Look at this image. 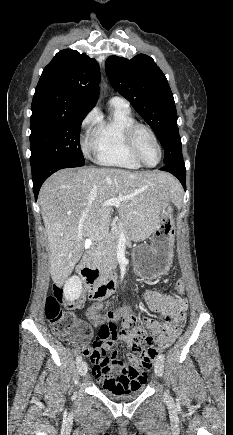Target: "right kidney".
Listing matches in <instances>:
<instances>
[{
    "label": "right kidney",
    "mask_w": 233,
    "mask_h": 435,
    "mask_svg": "<svg viewBox=\"0 0 233 435\" xmlns=\"http://www.w3.org/2000/svg\"><path fill=\"white\" fill-rule=\"evenodd\" d=\"M82 293V281L78 276L70 277L64 284L63 296L66 301L73 302Z\"/></svg>",
    "instance_id": "ca27d5eb"
}]
</instances>
